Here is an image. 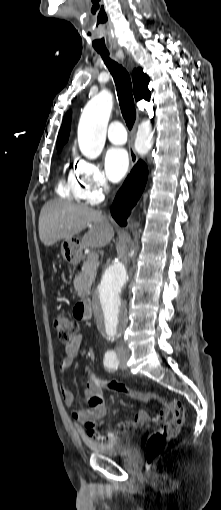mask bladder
<instances>
[{"label": "bladder", "mask_w": 221, "mask_h": 510, "mask_svg": "<svg viewBox=\"0 0 221 510\" xmlns=\"http://www.w3.org/2000/svg\"><path fill=\"white\" fill-rule=\"evenodd\" d=\"M136 444V435L134 433H126L118 439L97 443L88 442L87 446L94 452L102 454L106 457H120L130 453Z\"/></svg>", "instance_id": "31cf9c89"}]
</instances>
